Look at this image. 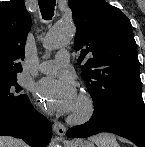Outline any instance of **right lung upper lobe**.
<instances>
[{
  "mask_svg": "<svg viewBox=\"0 0 145 147\" xmlns=\"http://www.w3.org/2000/svg\"><path fill=\"white\" fill-rule=\"evenodd\" d=\"M31 18L24 0L0 3V77L22 71L19 60L24 59L25 43Z\"/></svg>",
  "mask_w": 145,
  "mask_h": 147,
  "instance_id": "cb5924a9",
  "label": "right lung upper lobe"
}]
</instances>
